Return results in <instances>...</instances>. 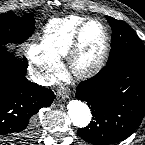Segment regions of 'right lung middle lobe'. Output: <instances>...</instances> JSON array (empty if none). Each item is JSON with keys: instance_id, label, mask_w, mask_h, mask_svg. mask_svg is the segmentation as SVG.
Here are the masks:
<instances>
[{"instance_id": "1", "label": "right lung middle lobe", "mask_w": 145, "mask_h": 145, "mask_svg": "<svg viewBox=\"0 0 145 145\" xmlns=\"http://www.w3.org/2000/svg\"><path fill=\"white\" fill-rule=\"evenodd\" d=\"M35 18L33 13L22 17L12 11L0 15V45L8 43L20 44L27 40L34 31Z\"/></svg>"}]
</instances>
